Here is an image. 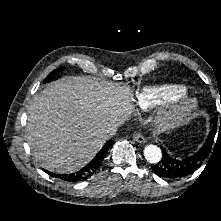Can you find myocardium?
<instances>
[{"instance_id":"1","label":"myocardium","mask_w":221,"mask_h":221,"mask_svg":"<svg viewBox=\"0 0 221 221\" xmlns=\"http://www.w3.org/2000/svg\"><path fill=\"white\" fill-rule=\"evenodd\" d=\"M155 117L156 125L162 130H171L185 123L197 109L195 98L168 100L162 103ZM160 104V105H162Z\"/></svg>"}]
</instances>
